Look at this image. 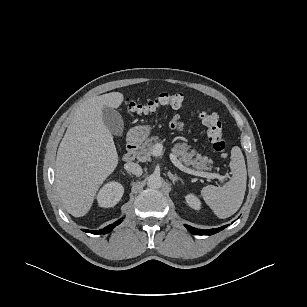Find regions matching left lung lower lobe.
Masks as SVG:
<instances>
[{
	"instance_id": "obj_1",
	"label": "left lung lower lobe",
	"mask_w": 307,
	"mask_h": 307,
	"mask_svg": "<svg viewBox=\"0 0 307 307\" xmlns=\"http://www.w3.org/2000/svg\"><path fill=\"white\" fill-rule=\"evenodd\" d=\"M185 227L192 233V234H195V235H213L215 233H218L220 232L221 230H223L224 228L227 227V225L225 226H222L220 228H215V229H208V230H201V229H196V228H193L189 225H185Z\"/></svg>"
}]
</instances>
